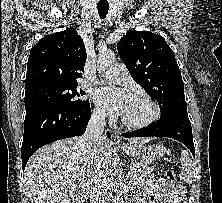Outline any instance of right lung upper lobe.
Segmentation results:
<instances>
[{"label":"right lung upper lobe","instance_id":"right-lung-upper-lobe-1","mask_svg":"<svg viewBox=\"0 0 222 203\" xmlns=\"http://www.w3.org/2000/svg\"><path fill=\"white\" fill-rule=\"evenodd\" d=\"M86 49L77 31L70 27L46 35L31 49L25 80L26 92L52 86L77 85L84 71Z\"/></svg>","mask_w":222,"mask_h":203}]
</instances>
